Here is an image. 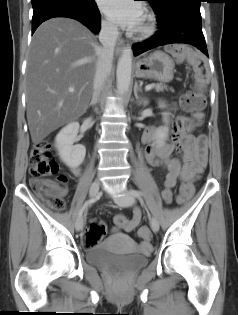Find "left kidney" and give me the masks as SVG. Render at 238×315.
I'll list each match as a JSON object with an SVG mask.
<instances>
[{"label":"left kidney","instance_id":"obj_1","mask_svg":"<svg viewBox=\"0 0 238 315\" xmlns=\"http://www.w3.org/2000/svg\"><path fill=\"white\" fill-rule=\"evenodd\" d=\"M144 103L146 104L147 102L144 101ZM159 107L164 108L165 107L164 103H159ZM162 116H163L164 122H167L169 119V113L164 112L162 113ZM167 137H168V128L159 127L155 133V144L157 146H161L162 144H164Z\"/></svg>","mask_w":238,"mask_h":315}]
</instances>
